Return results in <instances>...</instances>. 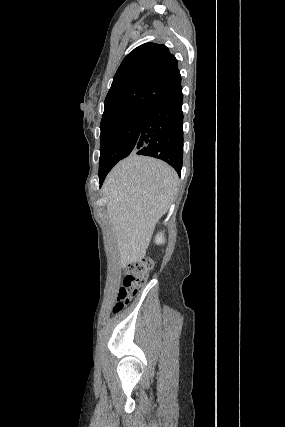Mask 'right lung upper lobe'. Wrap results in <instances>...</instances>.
<instances>
[{"instance_id":"cb5924a9","label":"right lung upper lobe","mask_w":285,"mask_h":427,"mask_svg":"<svg viewBox=\"0 0 285 427\" xmlns=\"http://www.w3.org/2000/svg\"><path fill=\"white\" fill-rule=\"evenodd\" d=\"M181 88L176 58L161 44L145 43L122 61L105 98L101 125L147 108Z\"/></svg>"}]
</instances>
